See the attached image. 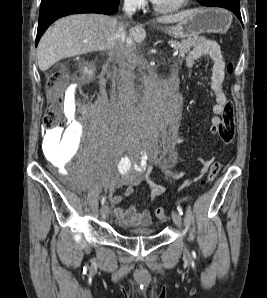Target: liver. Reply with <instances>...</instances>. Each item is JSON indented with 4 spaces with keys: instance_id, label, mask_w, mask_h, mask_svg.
Instances as JSON below:
<instances>
[{
    "instance_id": "obj_1",
    "label": "liver",
    "mask_w": 267,
    "mask_h": 298,
    "mask_svg": "<svg viewBox=\"0 0 267 298\" xmlns=\"http://www.w3.org/2000/svg\"><path fill=\"white\" fill-rule=\"evenodd\" d=\"M187 15L188 12L184 11L162 16L157 22L175 23ZM120 26L116 18L100 14H76L59 19L44 33L38 44L39 69L46 71L65 58L114 49L121 42L116 39ZM129 37L140 44L146 38V32L137 25L130 30Z\"/></svg>"
}]
</instances>
